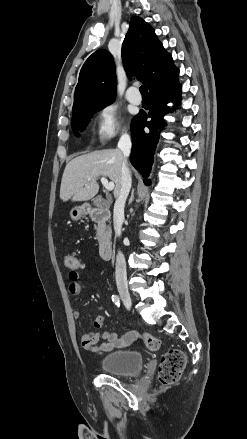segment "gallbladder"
I'll list each match as a JSON object with an SVG mask.
<instances>
[{
    "label": "gallbladder",
    "mask_w": 247,
    "mask_h": 439,
    "mask_svg": "<svg viewBox=\"0 0 247 439\" xmlns=\"http://www.w3.org/2000/svg\"><path fill=\"white\" fill-rule=\"evenodd\" d=\"M93 203H94L95 206H98V205H99V202H98V201H94Z\"/></svg>",
    "instance_id": "bac80fb5"
}]
</instances>
